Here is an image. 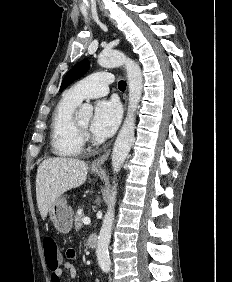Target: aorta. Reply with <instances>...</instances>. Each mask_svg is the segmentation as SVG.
Here are the masks:
<instances>
[{
	"mask_svg": "<svg viewBox=\"0 0 232 282\" xmlns=\"http://www.w3.org/2000/svg\"><path fill=\"white\" fill-rule=\"evenodd\" d=\"M98 63L102 67H118L124 65L129 85V101L128 112L126 119L119 131L112 150V168L113 173L118 174L127 158L131 144L134 139L135 131V116L134 113L138 107L143 89V77L140 66L132 59L125 56V54L118 50H104L98 56ZM84 113H91L92 107L88 104L82 106ZM116 179V178H114ZM111 194L109 196V203L106 214L103 219L102 227L98 237V244L96 248V256L99 266L103 272H109L111 269V261L108 252V246L112 234V225L114 221V206L116 200V183L113 181Z\"/></svg>",
	"mask_w": 232,
	"mask_h": 282,
	"instance_id": "obj_1",
	"label": "aorta"
}]
</instances>
